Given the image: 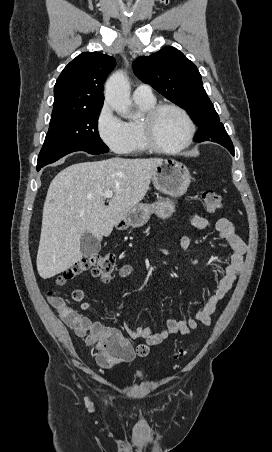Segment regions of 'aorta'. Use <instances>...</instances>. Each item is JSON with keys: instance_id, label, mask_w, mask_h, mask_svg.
Instances as JSON below:
<instances>
[{"instance_id": "762f6f07", "label": "aorta", "mask_w": 272, "mask_h": 452, "mask_svg": "<svg viewBox=\"0 0 272 452\" xmlns=\"http://www.w3.org/2000/svg\"><path fill=\"white\" fill-rule=\"evenodd\" d=\"M105 102L117 114L124 118H131L130 86L123 72H116L109 77L105 84Z\"/></svg>"}]
</instances>
